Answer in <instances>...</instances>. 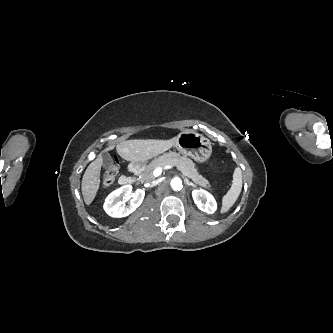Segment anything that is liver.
Here are the masks:
<instances>
[{"instance_id":"liver-1","label":"liver","mask_w":333,"mask_h":333,"mask_svg":"<svg viewBox=\"0 0 333 333\" xmlns=\"http://www.w3.org/2000/svg\"><path fill=\"white\" fill-rule=\"evenodd\" d=\"M175 141L176 137L169 140H126L116 145V151L124 160L132 163H142L169 150L175 145ZM112 149H114L113 145L107 147L105 150L109 151ZM102 163V157L98 156L89 164L83 175L81 190L84 202L87 205H90L93 202L99 190Z\"/></svg>"}]
</instances>
